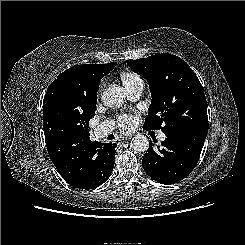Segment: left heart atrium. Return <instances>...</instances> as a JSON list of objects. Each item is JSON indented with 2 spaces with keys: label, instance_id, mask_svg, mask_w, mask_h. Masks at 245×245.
<instances>
[{
  "label": "left heart atrium",
  "instance_id": "left-heart-atrium-1",
  "mask_svg": "<svg viewBox=\"0 0 245 245\" xmlns=\"http://www.w3.org/2000/svg\"><path fill=\"white\" fill-rule=\"evenodd\" d=\"M118 125L122 130H128L133 125V118L129 115H122L118 119Z\"/></svg>",
  "mask_w": 245,
  "mask_h": 245
}]
</instances>
